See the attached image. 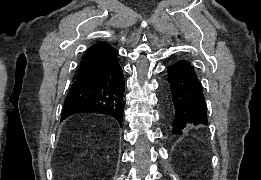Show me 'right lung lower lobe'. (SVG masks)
Listing matches in <instances>:
<instances>
[{
  "mask_svg": "<svg viewBox=\"0 0 261 180\" xmlns=\"http://www.w3.org/2000/svg\"><path fill=\"white\" fill-rule=\"evenodd\" d=\"M124 87L118 61L99 65L76 75L63 105L61 120L78 113H99L123 119Z\"/></svg>",
  "mask_w": 261,
  "mask_h": 180,
  "instance_id": "98d812e1",
  "label": "right lung lower lobe"
}]
</instances>
